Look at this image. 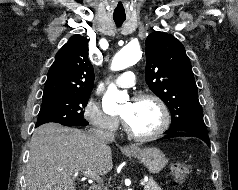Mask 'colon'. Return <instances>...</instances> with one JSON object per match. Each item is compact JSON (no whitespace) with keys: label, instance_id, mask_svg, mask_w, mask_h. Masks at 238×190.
I'll return each mask as SVG.
<instances>
[{"label":"colon","instance_id":"5ec220e1","mask_svg":"<svg viewBox=\"0 0 238 190\" xmlns=\"http://www.w3.org/2000/svg\"><path fill=\"white\" fill-rule=\"evenodd\" d=\"M191 167L183 161H175L171 164V173L177 182H183L191 174Z\"/></svg>","mask_w":238,"mask_h":190}]
</instances>
